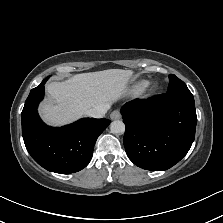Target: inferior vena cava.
<instances>
[{"label":"inferior vena cava","instance_id":"obj_1","mask_svg":"<svg viewBox=\"0 0 223 223\" xmlns=\"http://www.w3.org/2000/svg\"><path fill=\"white\" fill-rule=\"evenodd\" d=\"M110 108L109 104H102L97 106L96 108L89 109L86 112V116L88 117H94V118H102L103 115L107 112V110Z\"/></svg>","mask_w":223,"mask_h":223}]
</instances>
